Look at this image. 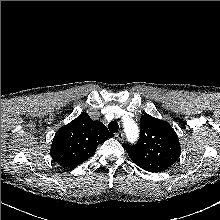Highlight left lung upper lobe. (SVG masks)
Segmentation results:
<instances>
[{"label": "left lung upper lobe", "instance_id": "obj_1", "mask_svg": "<svg viewBox=\"0 0 220 220\" xmlns=\"http://www.w3.org/2000/svg\"><path fill=\"white\" fill-rule=\"evenodd\" d=\"M140 138L135 145L123 144L132 161L142 169L158 173L180 157L178 136L171 125L148 114L140 118Z\"/></svg>", "mask_w": 220, "mask_h": 220}]
</instances>
